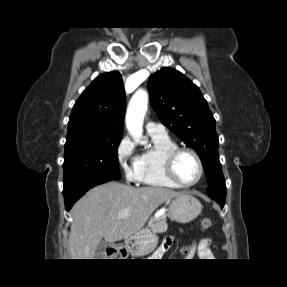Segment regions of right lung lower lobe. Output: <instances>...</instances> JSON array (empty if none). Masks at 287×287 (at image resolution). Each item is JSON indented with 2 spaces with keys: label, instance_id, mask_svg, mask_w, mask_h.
Wrapping results in <instances>:
<instances>
[{
  "label": "right lung lower lobe",
  "instance_id": "98d812e1",
  "mask_svg": "<svg viewBox=\"0 0 287 287\" xmlns=\"http://www.w3.org/2000/svg\"><path fill=\"white\" fill-rule=\"evenodd\" d=\"M107 178H87L80 180L63 190L65 208L67 211L71 209L73 204L82 197L90 188L110 181Z\"/></svg>",
  "mask_w": 287,
  "mask_h": 287
}]
</instances>
